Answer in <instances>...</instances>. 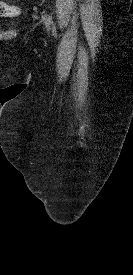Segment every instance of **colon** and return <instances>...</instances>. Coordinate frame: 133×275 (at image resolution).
<instances>
[{
    "instance_id": "obj_1",
    "label": "colon",
    "mask_w": 133,
    "mask_h": 275,
    "mask_svg": "<svg viewBox=\"0 0 133 275\" xmlns=\"http://www.w3.org/2000/svg\"><path fill=\"white\" fill-rule=\"evenodd\" d=\"M20 12L19 8L14 5L7 4L5 2L0 1V16L8 17V16H16Z\"/></svg>"
}]
</instances>
